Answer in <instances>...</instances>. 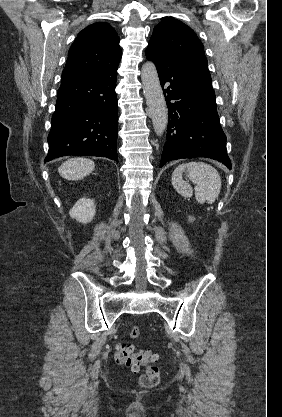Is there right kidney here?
I'll list each match as a JSON object with an SVG mask.
<instances>
[{
    "mask_svg": "<svg viewBox=\"0 0 282 417\" xmlns=\"http://www.w3.org/2000/svg\"><path fill=\"white\" fill-rule=\"evenodd\" d=\"M95 213L96 206L94 200L92 198H86V196L79 198L69 211L70 217L76 219L79 223H90L93 217H95Z\"/></svg>",
    "mask_w": 282,
    "mask_h": 417,
    "instance_id": "ca27d5eb",
    "label": "right kidney"
}]
</instances>
